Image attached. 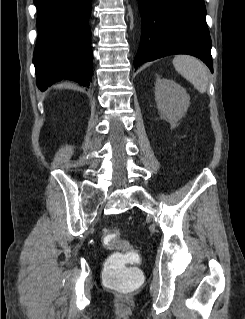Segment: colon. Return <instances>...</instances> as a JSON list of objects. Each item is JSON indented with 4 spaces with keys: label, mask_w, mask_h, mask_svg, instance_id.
Masks as SVG:
<instances>
[{
    "label": "colon",
    "mask_w": 245,
    "mask_h": 319,
    "mask_svg": "<svg viewBox=\"0 0 245 319\" xmlns=\"http://www.w3.org/2000/svg\"><path fill=\"white\" fill-rule=\"evenodd\" d=\"M102 242L106 247H124V250L113 252L106 258L104 284L123 293L139 288L143 282V275L136 267L139 260L138 254L130 249L127 243L121 241L117 230L104 229Z\"/></svg>",
    "instance_id": "1"
}]
</instances>
